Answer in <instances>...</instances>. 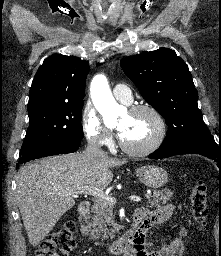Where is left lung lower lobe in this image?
Segmentation results:
<instances>
[{"label": "left lung lower lobe", "mask_w": 221, "mask_h": 256, "mask_svg": "<svg viewBox=\"0 0 221 256\" xmlns=\"http://www.w3.org/2000/svg\"><path fill=\"white\" fill-rule=\"evenodd\" d=\"M183 153H194L213 159L221 169V143H216L211 134L188 137L182 141L164 144L149 155L151 159L168 158Z\"/></svg>", "instance_id": "left-lung-lower-lobe-1"}]
</instances>
